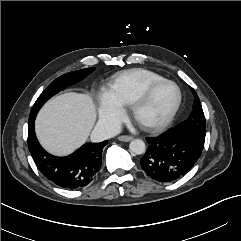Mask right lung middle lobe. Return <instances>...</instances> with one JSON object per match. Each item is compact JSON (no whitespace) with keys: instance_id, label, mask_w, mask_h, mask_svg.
Returning a JSON list of instances; mask_svg holds the SVG:
<instances>
[{"instance_id":"obj_1","label":"right lung middle lobe","mask_w":241,"mask_h":241,"mask_svg":"<svg viewBox=\"0 0 241 241\" xmlns=\"http://www.w3.org/2000/svg\"><path fill=\"white\" fill-rule=\"evenodd\" d=\"M95 68H85L78 71L69 72L58 78H56L38 97L31 112L29 119L35 116L42 105L53 95L57 94L59 91L65 89L67 86L75 84L78 81L83 80L86 76L92 73Z\"/></svg>"}]
</instances>
